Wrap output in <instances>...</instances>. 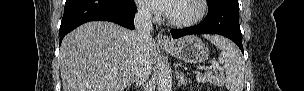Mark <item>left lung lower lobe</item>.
<instances>
[{"label": "left lung lower lobe", "mask_w": 304, "mask_h": 91, "mask_svg": "<svg viewBox=\"0 0 304 91\" xmlns=\"http://www.w3.org/2000/svg\"><path fill=\"white\" fill-rule=\"evenodd\" d=\"M238 0H221L208 7V15L200 24L184 29H172L173 38L191 34H219L231 39L244 54L239 26Z\"/></svg>", "instance_id": "1"}]
</instances>
